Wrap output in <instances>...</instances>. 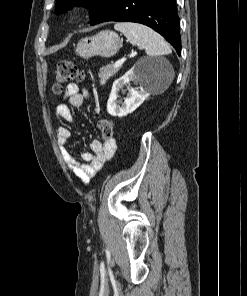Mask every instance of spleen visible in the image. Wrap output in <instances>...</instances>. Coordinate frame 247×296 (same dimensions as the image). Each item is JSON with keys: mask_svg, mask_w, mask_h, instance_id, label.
<instances>
[{"mask_svg": "<svg viewBox=\"0 0 247 296\" xmlns=\"http://www.w3.org/2000/svg\"><path fill=\"white\" fill-rule=\"evenodd\" d=\"M114 29L125 35L127 40L139 49H144L149 56H162L172 52L164 38L145 25L132 22H119ZM169 83L172 82L174 73L171 67Z\"/></svg>", "mask_w": 247, "mask_h": 296, "instance_id": "1", "label": "spleen"}]
</instances>
